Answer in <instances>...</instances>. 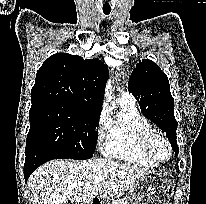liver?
Listing matches in <instances>:
<instances>
[{
    "instance_id": "obj_1",
    "label": "liver",
    "mask_w": 206,
    "mask_h": 204,
    "mask_svg": "<svg viewBox=\"0 0 206 204\" xmlns=\"http://www.w3.org/2000/svg\"><path fill=\"white\" fill-rule=\"evenodd\" d=\"M150 170L110 159L88 161L53 160L40 166L28 186L33 204L89 203L97 195L103 199L124 195L142 175ZM103 180L95 182L96 176Z\"/></svg>"
}]
</instances>
